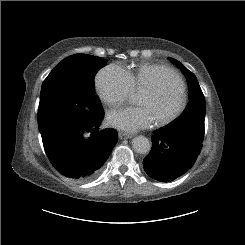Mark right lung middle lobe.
<instances>
[{"instance_id": "1", "label": "right lung middle lobe", "mask_w": 245, "mask_h": 245, "mask_svg": "<svg viewBox=\"0 0 245 245\" xmlns=\"http://www.w3.org/2000/svg\"><path fill=\"white\" fill-rule=\"evenodd\" d=\"M105 60L74 54L62 60L42 84L38 125L42 138L59 128L83 126L102 115L92 80Z\"/></svg>"}]
</instances>
